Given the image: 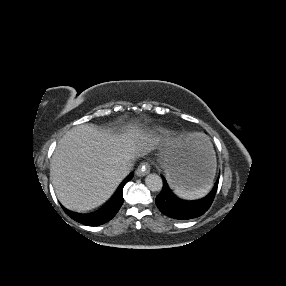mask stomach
<instances>
[{"mask_svg": "<svg viewBox=\"0 0 286 286\" xmlns=\"http://www.w3.org/2000/svg\"><path fill=\"white\" fill-rule=\"evenodd\" d=\"M161 165L172 186L187 189L204 187L213 181L216 172V158L207 138H183L182 144L161 154Z\"/></svg>", "mask_w": 286, "mask_h": 286, "instance_id": "stomach-1", "label": "stomach"}]
</instances>
